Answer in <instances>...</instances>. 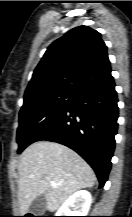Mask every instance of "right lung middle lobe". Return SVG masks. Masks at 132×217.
Returning <instances> with one entry per match:
<instances>
[{
	"instance_id": "right-lung-middle-lobe-1",
	"label": "right lung middle lobe",
	"mask_w": 132,
	"mask_h": 217,
	"mask_svg": "<svg viewBox=\"0 0 132 217\" xmlns=\"http://www.w3.org/2000/svg\"><path fill=\"white\" fill-rule=\"evenodd\" d=\"M76 94L56 92L24 98L17 129L18 153L36 142L74 101Z\"/></svg>"
}]
</instances>
